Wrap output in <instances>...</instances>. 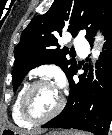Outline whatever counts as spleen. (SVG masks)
Returning a JSON list of instances; mask_svg holds the SVG:
<instances>
[{"label": "spleen", "mask_w": 112, "mask_h": 135, "mask_svg": "<svg viewBox=\"0 0 112 135\" xmlns=\"http://www.w3.org/2000/svg\"><path fill=\"white\" fill-rule=\"evenodd\" d=\"M77 135H84L83 133H77Z\"/></svg>", "instance_id": "1"}]
</instances>
